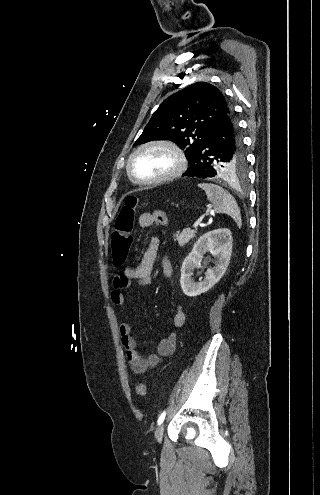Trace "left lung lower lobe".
I'll return each mask as SVG.
<instances>
[{"label":"left lung lower lobe","mask_w":320,"mask_h":495,"mask_svg":"<svg viewBox=\"0 0 320 495\" xmlns=\"http://www.w3.org/2000/svg\"><path fill=\"white\" fill-rule=\"evenodd\" d=\"M241 143L238 127L231 112L228 117L215 125L212 133L189 161L190 168L184 175L199 178L216 176L214 164L223 159L220 153L225 154V150L227 157L232 156L239 151ZM216 152L219 154L214 155Z\"/></svg>","instance_id":"left-lung-lower-lobe-1"}]
</instances>
